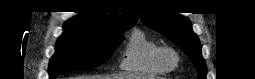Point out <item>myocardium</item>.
Segmentation results:
<instances>
[{
  "label": "myocardium",
  "instance_id": "myocardium-1",
  "mask_svg": "<svg viewBox=\"0 0 255 79\" xmlns=\"http://www.w3.org/2000/svg\"><path fill=\"white\" fill-rule=\"evenodd\" d=\"M172 55L175 58V63H171L168 59V56ZM157 61L158 63L166 70L172 71L178 67L180 64V56L178 52L169 46L160 47L157 52Z\"/></svg>",
  "mask_w": 255,
  "mask_h": 79
}]
</instances>
